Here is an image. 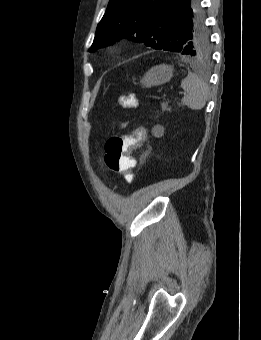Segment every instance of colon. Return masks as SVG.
Returning a JSON list of instances; mask_svg holds the SVG:
<instances>
[{"mask_svg": "<svg viewBox=\"0 0 261 340\" xmlns=\"http://www.w3.org/2000/svg\"><path fill=\"white\" fill-rule=\"evenodd\" d=\"M118 104L122 108H136L138 99L135 94L121 96ZM145 138L143 128H137L124 136H113L105 143L104 160L107 167L120 174L127 182H133L136 177L135 160L129 155Z\"/></svg>", "mask_w": 261, "mask_h": 340, "instance_id": "1", "label": "colon"}]
</instances>
